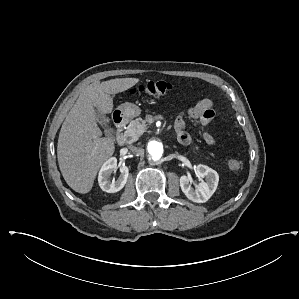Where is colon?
<instances>
[{
	"instance_id": "1",
	"label": "colon",
	"mask_w": 299,
	"mask_h": 299,
	"mask_svg": "<svg viewBox=\"0 0 299 299\" xmlns=\"http://www.w3.org/2000/svg\"><path fill=\"white\" fill-rule=\"evenodd\" d=\"M174 88V85L166 81H146L133 88V92L149 96H162ZM228 166L231 170H239L242 162L239 159L231 158L228 161Z\"/></svg>"
}]
</instances>
